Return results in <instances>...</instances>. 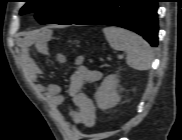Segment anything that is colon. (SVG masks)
<instances>
[{
	"label": "colon",
	"mask_w": 182,
	"mask_h": 140,
	"mask_svg": "<svg viewBox=\"0 0 182 140\" xmlns=\"http://www.w3.org/2000/svg\"><path fill=\"white\" fill-rule=\"evenodd\" d=\"M88 140H94V138H89Z\"/></svg>",
	"instance_id": "obj_1"
}]
</instances>
